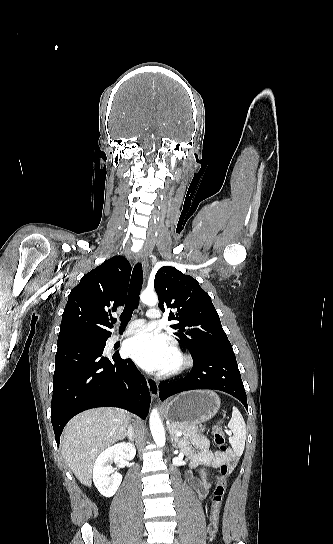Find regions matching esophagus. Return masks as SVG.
Instances as JSON below:
<instances>
[{"label": "esophagus", "instance_id": "esophagus-1", "mask_svg": "<svg viewBox=\"0 0 333 544\" xmlns=\"http://www.w3.org/2000/svg\"><path fill=\"white\" fill-rule=\"evenodd\" d=\"M137 259L142 263L143 275L146 276L148 272V260L145 251L138 253ZM147 386L150 394L153 398H156L159 393V385L153 378H147Z\"/></svg>", "mask_w": 333, "mask_h": 544}]
</instances>
